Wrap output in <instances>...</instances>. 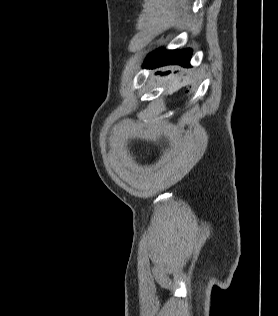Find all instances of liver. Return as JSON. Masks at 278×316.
Instances as JSON below:
<instances>
[{
    "label": "liver",
    "mask_w": 278,
    "mask_h": 316,
    "mask_svg": "<svg viewBox=\"0 0 278 316\" xmlns=\"http://www.w3.org/2000/svg\"><path fill=\"white\" fill-rule=\"evenodd\" d=\"M188 81V78L181 81V77L171 74L164 79V84L167 87L168 93L171 94L172 92L176 91L181 86L186 84Z\"/></svg>",
    "instance_id": "6515ba94"
}]
</instances>
